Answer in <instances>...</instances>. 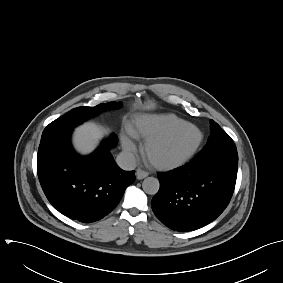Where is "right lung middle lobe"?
Instances as JSON below:
<instances>
[{"label": "right lung middle lobe", "mask_w": 283, "mask_h": 283, "mask_svg": "<svg viewBox=\"0 0 283 283\" xmlns=\"http://www.w3.org/2000/svg\"><path fill=\"white\" fill-rule=\"evenodd\" d=\"M120 106V102H109L101 103L95 107L74 108L65 115L51 122L43 131L41 141H44L55 135L70 131L86 119L93 117L104 110L118 108Z\"/></svg>", "instance_id": "1"}]
</instances>
